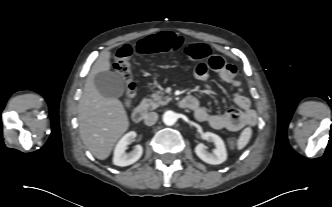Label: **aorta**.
<instances>
[{"mask_svg":"<svg viewBox=\"0 0 332 207\" xmlns=\"http://www.w3.org/2000/svg\"><path fill=\"white\" fill-rule=\"evenodd\" d=\"M177 121V115L175 112L173 111H166L163 114V122L164 124L168 125V126H172L175 124V122Z\"/></svg>","mask_w":332,"mask_h":207,"instance_id":"obj_1","label":"aorta"}]
</instances>
